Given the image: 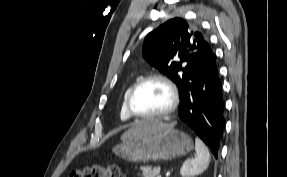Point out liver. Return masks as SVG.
<instances>
[{
	"mask_svg": "<svg viewBox=\"0 0 287 177\" xmlns=\"http://www.w3.org/2000/svg\"><path fill=\"white\" fill-rule=\"evenodd\" d=\"M175 125V123H171V124H167V123H163L159 120H145V121H141L138 122L137 124H135L131 129H129L128 131H126L121 139H127L133 136H138V135H142V134H146L149 132H153L162 128H166V127H173Z\"/></svg>",
	"mask_w": 287,
	"mask_h": 177,
	"instance_id": "liver-1",
	"label": "liver"
}]
</instances>
